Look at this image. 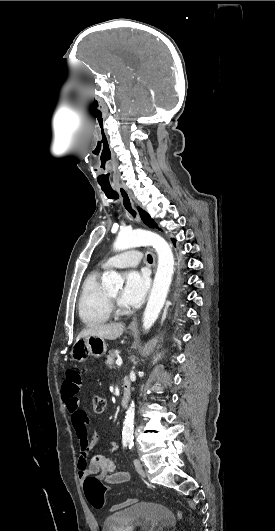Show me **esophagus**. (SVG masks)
<instances>
[{
  "label": "esophagus",
  "instance_id": "1",
  "mask_svg": "<svg viewBox=\"0 0 275 531\" xmlns=\"http://www.w3.org/2000/svg\"><path fill=\"white\" fill-rule=\"evenodd\" d=\"M115 187H116V189H117V191L119 193L123 208H124L125 212L127 213V215L132 219V221L140 223L139 213H138L137 209L135 208L134 203H133L128 191L126 190V188L124 186H122V185H116ZM137 325H138L137 318H134L131 321V323L129 324V327L130 328H137Z\"/></svg>",
  "mask_w": 275,
  "mask_h": 531
}]
</instances>
